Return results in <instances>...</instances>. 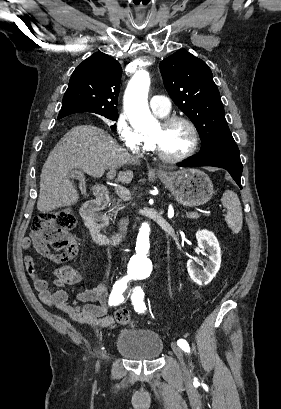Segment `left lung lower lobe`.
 Instances as JSON below:
<instances>
[{
  "label": "left lung lower lobe",
  "instance_id": "0a47b994",
  "mask_svg": "<svg viewBox=\"0 0 281 409\" xmlns=\"http://www.w3.org/2000/svg\"><path fill=\"white\" fill-rule=\"evenodd\" d=\"M180 167L190 166H214L226 169L242 189L240 178L242 174V163L239 154L233 153H205L197 154L188 161L179 164Z\"/></svg>",
  "mask_w": 281,
  "mask_h": 409
}]
</instances>
